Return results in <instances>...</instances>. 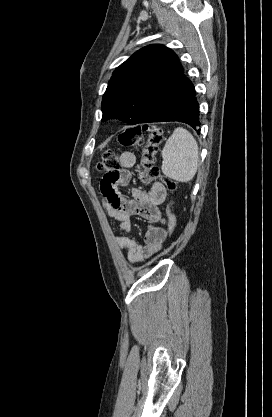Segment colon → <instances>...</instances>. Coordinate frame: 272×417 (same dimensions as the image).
Here are the masks:
<instances>
[{"label":"colon","instance_id":"1","mask_svg":"<svg viewBox=\"0 0 272 417\" xmlns=\"http://www.w3.org/2000/svg\"><path fill=\"white\" fill-rule=\"evenodd\" d=\"M144 134L147 135V142L142 151L141 166L145 172V180L152 182L161 179L169 191L176 189V184L166 178H161L156 166V157L159 146L163 141V131L156 125H144L125 129L118 136V143L123 148L138 149L143 145ZM121 161L116 150L105 151L98 163V169L106 174H115L120 170ZM176 227V215L172 210V202H169L167 212V234L170 235Z\"/></svg>","mask_w":272,"mask_h":417}]
</instances>
